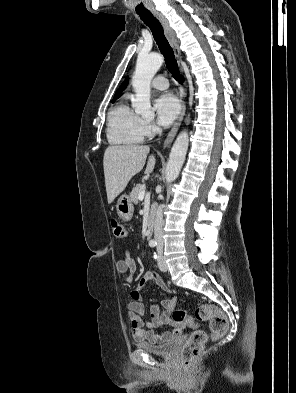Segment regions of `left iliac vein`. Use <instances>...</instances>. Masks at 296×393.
<instances>
[{
  "label": "left iliac vein",
  "mask_w": 296,
  "mask_h": 393,
  "mask_svg": "<svg viewBox=\"0 0 296 393\" xmlns=\"http://www.w3.org/2000/svg\"><path fill=\"white\" fill-rule=\"evenodd\" d=\"M158 267L163 272L168 270V266L166 264L165 257L163 256L161 251H159V256H158Z\"/></svg>",
  "instance_id": "1"
}]
</instances>
